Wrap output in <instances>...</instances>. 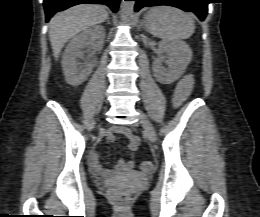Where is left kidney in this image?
I'll return each instance as SVG.
<instances>
[{
    "label": "left kidney",
    "instance_id": "obj_1",
    "mask_svg": "<svg viewBox=\"0 0 260 217\" xmlns=\"http://www.w3.org/2000/svg\"><path fill=\"white\" fill-rule=\"evenodd\" d=\"M167 57L168 68L162 66V62ZM192 58L190 47L177 40H163L159 44L158 57L154 60L152 69L158 82L171 84L178 80L186 71Z\"/></svg>",
    "mask_w": 260,
    "mask_h": 217
}]
</instances>
